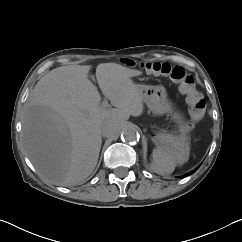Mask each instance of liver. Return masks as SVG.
I'll return each mask as SVG.
<instances>
[{
    "instance_id": "liver-1",
    "label": "liver",
    "mask_w": 242,
    "mask_h": 242,
    "mask_svg": "<svg viewBox=\"0 0 242 242\" xmlns=\"http://www.w3.org/2000/svg\"><path fill=\"white\" fill-rule=\"evenodd\" d=\"M90 70L91 65L51 70L37 82L24 108V148L40 176L55 185L81 184L93 172L102 145L98 132L108 119H115L121 130L130 116L144 111L142 85L131 79L140 70L117 63L97 66V82L112 109L100 106Z\"/></svg>"
}]
</instances>
